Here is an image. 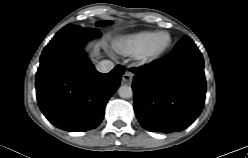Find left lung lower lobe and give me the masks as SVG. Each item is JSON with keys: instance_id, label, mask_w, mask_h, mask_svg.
<instances>
[{"instance_id": "obj_1", "label": "left lung lower lobe", "mask_w": 248, "mask_h": 158, "mask_svg": "<svg viewBox=\"0 0 248 158\" xmlns=\"http://www.w3.org/2000/svg\"><path fill=\"white\" fill-rule=\"evenodd\" d=\"M204 61L194 42L183 37L167 56L132 68L134 110L148 131L170 133L190 126L202 111Z\"/></svg>"}]
</instances>
